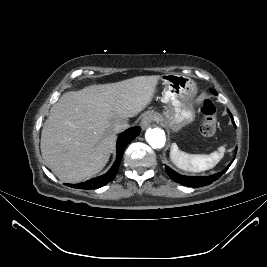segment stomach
<instances>
[{
	"label": "stomach",
	"mask_w": 267,
	"mask_h": 267,
	"mask_svg": "<svg viewBox=\"0 0 267 267\" xmlns=\"http://www.w3.org/2000/svg\"><path fill=\"white\" fill-rule=\"evenodd\" d=\"M161 79L165 85L162 100L174 106L172 127L177 130L195 118V112L190 105L195 86L193 81L184 75L166 74ZM154 116L157 119L160 117L159 114Z\"/></svg>",
	"instance_id": "obj_1"
}]
</instances>
